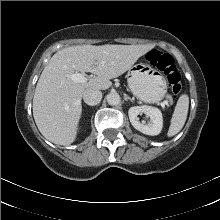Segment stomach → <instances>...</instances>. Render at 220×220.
I'll return each instance as SVG.
<instances>
[{"instance_id":"obj_1","label":"stomach","mask_w":220,"mask_h":220,"mask_svg":"<svg viewBox=\"0 0 220 220\" xmlns=\"http://www.w3.org/2000/svg\"><path fill=\"white\" fill-rule=\"evenodd\" d=\"M128 86L131 92L147 103L161 101L167 93L164 76L146 64H136L129 69Z\"/></svg>"}]
</instances>
